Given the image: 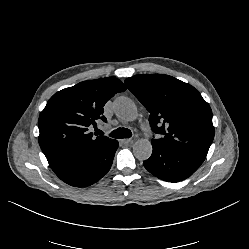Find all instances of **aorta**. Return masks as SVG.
<instances>
[{"instance_id": "762f6f07", "label": "aorta", "mask_w": 249, "mask_h": 249, "mask_svg": "<svg viewBox=\"0 0 249 249\" xmlns=\"http://www.w3.org/2000/svg\"><path fill=\"white\" fill-rule=\"evenodd\" d=\"M114 112L123 121H133L138 116L135 103L128 97L120 96L114 100ZM133 154L140 160H147L152 154V144L148 139H138L133 145Z\"/></svg>"}]
</instances>
